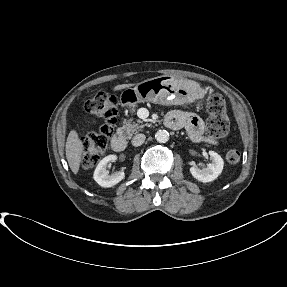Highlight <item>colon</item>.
<instances>
[{
    "mask_svg": "<svg viewBox=\"0 0 287 287\" xmlns=\"http://www.w3.org/2000/svg\"><path fill=\"white\" fill-rule=\"evenodd\" d=\"M86 111L104 123L97 131L89 132L82 139L83 161L85 168L93 167L104 155L109 137L114 133L118 113L117 98L107 92H98L86 103ZM208 134L211 138L219 139L228 133L229 120L226 115V103L220 94H211L207 100ZM241 159V153L236 148L226 151V160L236 164Z\"/></svg>",
    "mask_w": 287,
    "mask_h": 287,
    "instance_id": "obj_1",
    "label": "colon"
}]
</instances>
